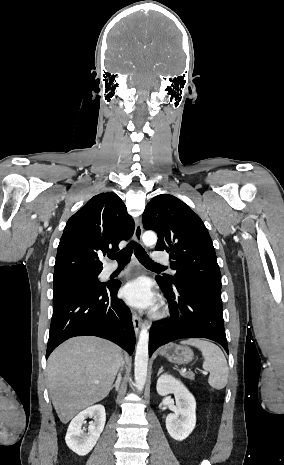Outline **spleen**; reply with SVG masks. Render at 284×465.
<instances>
[{
  "label": "spleen",
  "instance_id": "3e777b00",
  "mask_svg": "<svg viewBox=\"0 0 284 465\" xmlns=\"http://www.w3.org/2000/svg\"><path fill=\"white\" fill-rule=\"evenodd\" d=\"M182 345H192L197 347L202 353L204 371H209L208 383L213 389H224L228 383L229 369L227 361L219 347L214 343H209L208 339H188L181 341Z\"/></svg>",
  "mask_w": 284,
  "mask_h": 465
}]
</instances>
